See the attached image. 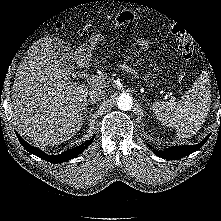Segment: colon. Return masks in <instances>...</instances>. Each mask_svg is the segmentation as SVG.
Segmentation results:
<instances>
[{"instance_id":"5ec220e1","label":"colon","mask_w":221,"mask_h":221,"mask_svg":"<svg viewBox=\"0 0 221 221\" xmlns=\"http://www.w3.org/2000/svg\"><path fill=\"white\" fill-rule=\"evenodd\" d=\"M62 24H59L58 27H61ZM171 32L179 41V49L183 59L189 60L193 57L195 53V43L192 38L188 35L184 27L179 24L171 25Z\"/></svg>"}]
</instances>
